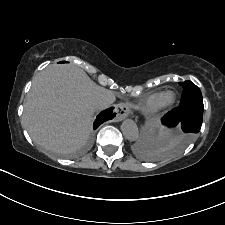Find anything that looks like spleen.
<instances>
[{
  "instance_id": "obj_1",
  "label": "spleen",
  "mask_w": 225,
  "mask_h": 225,
  "mask_svg": "<svg viewBox=\"0 0 225 225\" xmlns=\"http://www.w3.org/2000/svg\"><path fill=\"white\" fill-rule=\"evenodd\" d=\"M170 130L169 129H167V128H165V127H162L161 129H160V137H167V136H169L170 135Z\"/></svg>"
}]
</instances>
